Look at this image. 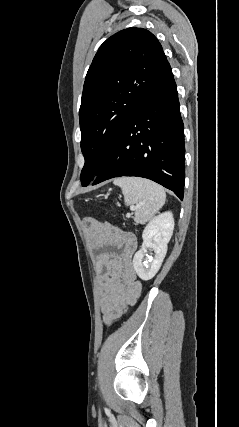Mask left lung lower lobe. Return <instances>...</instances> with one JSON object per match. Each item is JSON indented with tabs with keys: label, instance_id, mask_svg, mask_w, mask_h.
Here are the masks:
<instances>
[{
	"label": "left lung lower lobe",
	"instance_id": "left-lung-lower-lobe-1",
	"mask_svg": "<svg viewBox=\"0 0 239 427\" xmlns=\"http://www.w3.org/2000/svg\"><path fill=\"white\" fill-rule=\"evenodd\" d=\"M184 125L172 71L137 106L122 129L96 185L121 176L151 179L184 194Z\"/></svg>",
	"mask_w": 239,
	"mask_h": 427
}]
</instances>
